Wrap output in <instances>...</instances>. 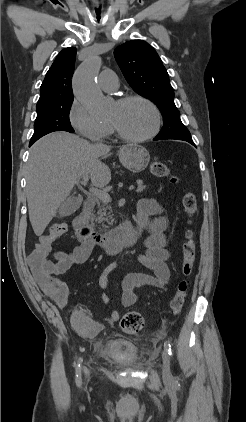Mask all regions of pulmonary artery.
I'll list each match as a JSON object with an SVG mask.
<instances>
[{
  "label": "pulmonary artery",
  "mask_w": 246,
  "mask_h": 422,
  "mask_svg": "<svg viewBox=\"0 0 246 422\" xmlns=\"http://www.w3.org/2000/svg\"><path fill=\"white\" fill-rule=\"evenodd\" d=\"M98 84L104 91H115L117 90L118 78L112 70H104L98 77Z\"/></svg>",
  "instance_id": "obj_1"
}]
</instances>
